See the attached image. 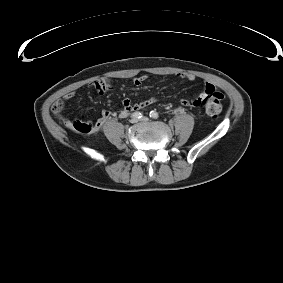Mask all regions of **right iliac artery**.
Wrapping results in <instances>:
<instances>
[{
  "mask_svg": "<svg viewBox=\"0 0 283 283\" xmlns=\"http://www.w3.org/2000/svg\"><path fill=\"white\" fill-rule=\"evenodd\" d=\"M134 118H137V119H140L142 117V113L140 112H134L133 115H132ZM124 118V117H122Z\"/></svg>",
  "mask_w": 283,
  "mask_h": 283,
  "instance_id": "obj_1",
  "label": "right iliac artery"
}]
</instances>
